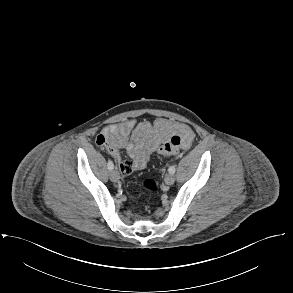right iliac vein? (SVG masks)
<instances>
[{"instance_id":"right-iliac-vein-1","label":"right iliac vein","mask_w":293,"mask_h":293,"mask_svg":"<svg viewBox=\"0 0 293 293\" xmlns=\"http://www.w3.org/2000/svg\"><path fill=\"white\" fill-rule=\"evenodd\" d=\"M110 179H111V181H113V182H118V181H119V179H120V175H119V173H118L117 170H112V171L110 172Z\"/></svg>"}]
</instances>
